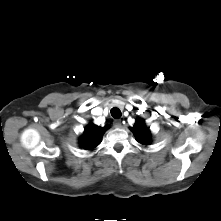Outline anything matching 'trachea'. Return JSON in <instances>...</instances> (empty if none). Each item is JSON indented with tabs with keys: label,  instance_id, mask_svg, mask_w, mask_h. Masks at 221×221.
I'll return each instance as SVG.
<instances>
[{
	"label": "trachea",
	"instance_id": "1",
	"mask_svg": "<svg viewBox=\"0 0 221 221\" xmlns=\"http://www.w3.org/2000/svg\"><path fill=\"white\" fill-rule=\"evenodd\" d=\"M110 113H111L112 117L115 119L120 118L122 115L120 109L117 107L112 108Z\"/></svg>",
	"mask_w": 221,
	"mask_h": 221
}]
</instances>
